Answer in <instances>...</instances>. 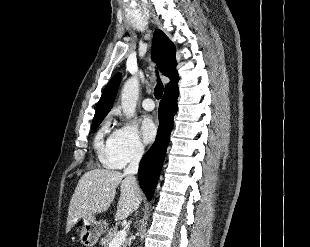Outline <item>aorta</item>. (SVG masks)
<instances>
[{"label": "aorta", "mask_w": 310, "mask_h": 247, "mask_svg": "<svg viewBox=\"0 0 310 247\" xmlns=\"http://www.w3.org/2000/svg\"><path fill=\"white\" fill-rule=\"evenodd\" d=\"M139 96V80L130 77L124 84L121 93V107L127 118L133 117Z\"/></svg>", "instance_id": "aorta-1"}]
</instances>
